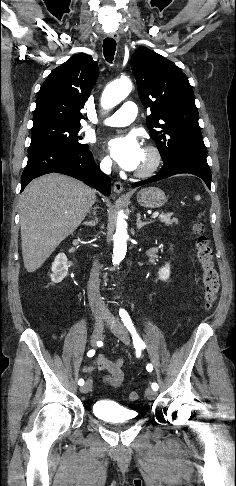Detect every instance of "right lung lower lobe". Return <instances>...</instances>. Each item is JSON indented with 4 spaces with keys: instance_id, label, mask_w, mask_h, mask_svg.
I'll list each match as a JSON object with an SVG mask.
<instances>
[{
    "instance_id": "1",
    "label": "right lung lower lobe",
    "mask_w": 236,
    "mask_h": 486,
    "mask_svg": "<svg viewBox=\"0 0 236 486\" xmlns=\"http://www.w3.org/2000/svg\"><path fill=\"white\" fill-rule=\"evenodd\" d=\"M52 172L72 176L104 195L111 193V180L96 165L89 147L77 149L50 145L29 148L27 166L21 176V192L34 178Z\"/></svg>"
}]
</instances>
